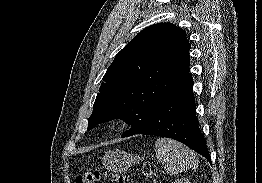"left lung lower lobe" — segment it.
Returning a JSON list of instances; mask_svg holds the SVG:
<instances>
[{
  "mask_svg": "<svg viewBox=\"0 0 262 183\" xmlns=\"http://www.w3.org/2000/svg\"><path fill=\"white\" fill-rule=\"evenodd\" d=\"M136 134L175 139L211 163L205 138L198 126L191 74L188 73L177 89L156 109L147 126Z\"/></svg>",
  "mask_w": 262,
  "mask_h": 183,
  "instance_id": "obj_1",
  "label": "left lung lower lobe"
}]
</instances>
